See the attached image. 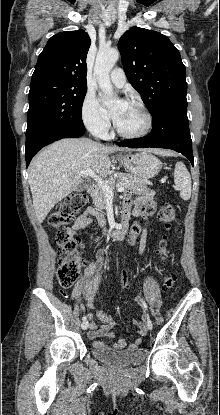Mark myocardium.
<instances>
[{
  "mask_svg": "<svg viewBox=\"0 0 220 415\" xmlns=\"http://www.w3.org/2000/svg\"><path fill=\"white\" fill-rule=\"evenodd\" d=\"M129 104H132L136 107H138L139 109L142 110V112L145 115L146 118V125L144 127V129L140 132H136V133H128V132H124L121 129H119V127L116 125V123L114 124V128L116 133L123 137V138H127V139H137V138H142L146 135H148L150 133V131L152 130L153 127V115L151 113V111L148 109V107L140 100L137 99H128L126 101Z\"/></svg>",
  "mask_w": 220,
  "mask_h": 415,
  "instance_id": "obj_1",
  "label": "myocardium"
}]
</instances>
